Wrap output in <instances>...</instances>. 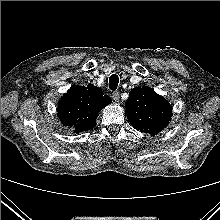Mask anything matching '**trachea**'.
<instances>
[{
    "mask_svg": "<svg viewBox=\"0 0 220 220\" xmlns=\"http://www.w3.org/2000/svg\"><path fill=\"white\" fill-rule=\"evenodd\" d=\"M118 83H119L118 76L116 74L111 75L109 78V88L113 91L116 90L118 87Z\"/></svg>",
    "mask_w": 220,
    "mask_h": 220,
    "instance_id": "3493384b",
    "label": "trachea"
}]
</instances>
